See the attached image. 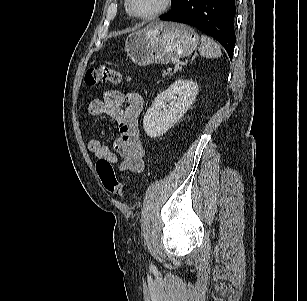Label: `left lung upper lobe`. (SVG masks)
Segmentation results:
<instances>
[{
	"label": "left lung upper lobe",
	"instance_id": "5c2ea615",
	"mask_svg": "<svg viewBox=\"0 0 307 301\" xmlns=\"http://www.w3.org/2000/svg\"><path fill=\"white\" fill-rule=\"evenodd\" d=\"M172 1V8L171 11L175 9V7L178 5V3L180 2V0H171Z\"/></svg>",
	"mask_w": 307,
	"mask_h": 301
}]
</instances>
